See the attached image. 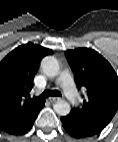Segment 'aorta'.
<instances>
[{
    "label": "aorta",
    "mask_w": 118,
    "mask_h": 142,
    "mask_svg": "<svg viewBox=\"0 0 118 142\" xmlns=\"http://www.w3.org/2000/svg\"><path fill=\"white\" fill-rule=\"evenodd\" d=\"M43 72L49 77H55L59 73V65L53 58L45 59L42 63ZM54 110L61 116H66L70 113L71 107L67 101H59L54 105Z\"/></svg>",
    "instance_id": "1"
}]
</instances>
